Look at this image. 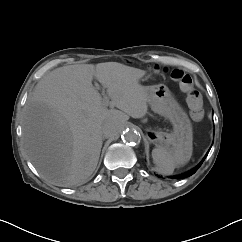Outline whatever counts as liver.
I'll return each mask as SVG.
<instances>
[{
  "instance_id": "liver-1",
  "label": "liver",
  "mask_w": 242,
  "mask_h": 242,
  "mask_svg": "<svg viewBox=\"0 0 242 242\" xmlns=\"http://www.w3.org/2000/svg\"><path fill=\"white\" fill-rule=\"evenodd\" d=\"M145 74L118 62L77 64L57 68L37 83L24 108L22 131L24 148L42 178L65 187L86 183L99 160L101 126L113 118L120 132L129 117L148 113L147 87L140 84ZM93 78L119 110L103 104Z\"/></svg>"
}]
</instances>
